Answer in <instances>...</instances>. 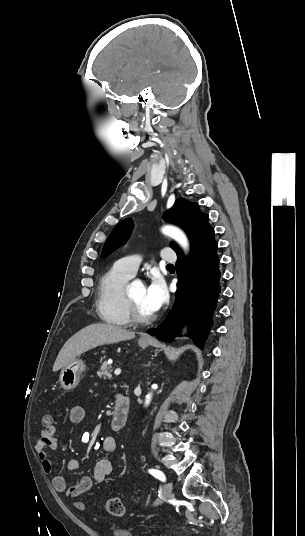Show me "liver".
<instances>
[{"instance_id": "liver-1", "label": "liver", "mask_w": 305, "mask_h": 536, "mask_svg": "<svg viewBox=\"0 0 305 536\" xmlns=\"http://www.w3.org/2000/svg\"><path fill=\"white\" fill-rule=\"evenodd\" d=\"M135 332L124 330L121 326H112V324H91L87 328H83L72 338L67 340L63 348H61L53 366V372H58L61 368L68 366L69 362H73L77 356L93 350L97 346L103 344H118L125 340H133Z\"/></svg>"}]
</instances>
